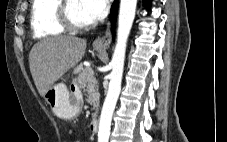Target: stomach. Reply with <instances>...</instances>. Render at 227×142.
Returning <instances> with one entry per match:
<instances>
[{"label": "stomach", "mask_w": 227, "mask_h": 142, "mask_svg": "<svg viewBox=\"0 0 227 142\" xmlns=\"http://www.w3.org/2000/svg\"><path fill=\"white\" fill-rule=\"evenodd\" d=\"M97 51L103 52L99 48H97ZM44 99L50 105L55 115L61 119L71 120L81 110V102L75 100L67 86L63 83H58L49 88L44 94Z\"/></svg>", "instance_id": "1"}]
</instances>
